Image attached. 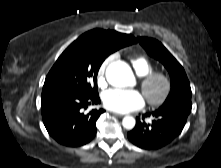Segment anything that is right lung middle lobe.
Segmentation results:
<instances>
[{"label":"right lung middle lobe","mask_w":221,"mask_h":168,"mask_svg":"<svg viewBox=\"0 0 221 168\" xmlns=\"http://www.w3.org/2000/svg\"><path fill=\"white\" fill-rule=\"evenodd\" d=\"M113 53L87 40L74 41L57 59L43 88H64L85 95H96L97 74L105 58Z\"/></svg>","instance_id":"1"}]
</instances>
